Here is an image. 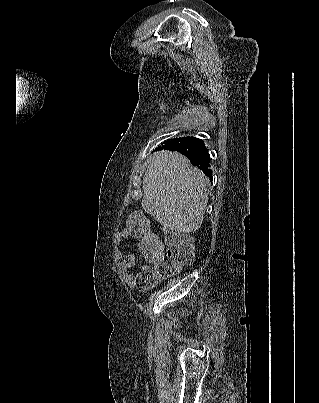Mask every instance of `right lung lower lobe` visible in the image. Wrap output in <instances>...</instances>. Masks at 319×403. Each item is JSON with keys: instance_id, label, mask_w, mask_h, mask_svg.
I'll return each mask as SVG.
<instances>
[{"instance_id": "right-lung-lower-lobe-1", "label": "right lung lower lobe", "mask_w": 319, "mask_h": 403, "mask_svg": "<svg viewBox=\"0 0 319 403\" xmlns=\"http://www.w3.org/2000/svg\"><path fill=\"white\" fill-rule=\"evenodd\" d=\"M160 148H158L159 150ZM161 149L170 151H178L190 159L191 163L198 167L208 177L212 178V170L210 169V156L208 149L205 147L201 139L194 137H182L165 141Z\"/></svg>"}]
</instances>
